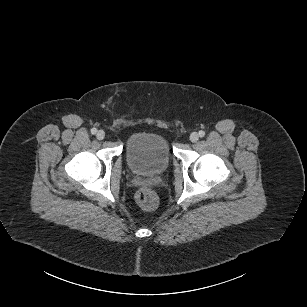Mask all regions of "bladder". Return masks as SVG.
<instances>
[{"instance_id":"1","label":"bladder","mask_w":307,"mask_h":307,"mask_svg":"<svg viewBox=\"0 0 307 307\" xmlns=\"http://www.w3.org/2000/svg\"><path fill=\"white\" fill-rule=\"evenodd\" d=\"M126 160L129 168L136 174H159L170 163V143L164 135L159 133H135L126 144Z\"/></svg>"}]
</instances>
